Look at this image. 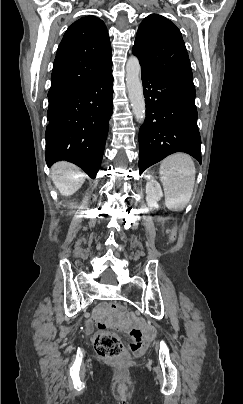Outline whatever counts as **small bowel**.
I'll list each match as a JSON object with an SVG mask.
<instances>
[{
  "label": "small bowel",
  "mask_w": 243,
  "mask_h": 404,
  "mask_svg": "<svg viewBox=\"0 0 243 404\" xmlns=\"http://www.w3.org/2000/svg\"><path fill=\"white\" fill-rule=\"evenodd\" d=\"M90 329H91V326H90V325H88L87 330H88V331H90Z\"/></svg>",
  "instance_id": "small-bowel-1"
}]
</instances>
